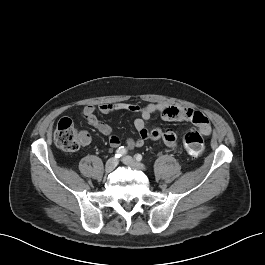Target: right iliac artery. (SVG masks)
<instances>
[{
	"instance_id": "right-iliac-artery-1",
	"label": "right iliac artery",
	"mask_w": 265,
	"mask_h": 265,
	"mask_svg": "<svg viewBox=\"0 0 265 265\" xmlns=\"http://www.w3.org/2000/svg\"><path fill=\"white\" fill-rule=\"evenodd\" d=\"M127 153L126 148H124L123 146L119 147L116 152H115V157L116 158H120L122 156H124Z\"/></svg>"
}]
</instances>
